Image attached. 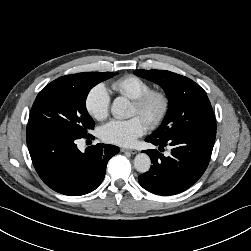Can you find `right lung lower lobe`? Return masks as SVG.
I'll return each mask as SVG.
<instances>
[{"label": "right lung lower lobe", "mask_w": 251, "mask_h": 251, "mask_svg": "<svg viewBox=\"0 0 251 251\" xmlns=\"http://www.w3.org/2000/svg\"><path fill=\"white\" fill-rule=\"evenodd\" d=\"M26 139L33 165L51 189L70 196L95 190L102 182L109 159L119 152L114 145L97 144L84 153L76 139L46 129L29 127Z\"/></svg>", "instance_id": "obj_1"}]
</instances>
